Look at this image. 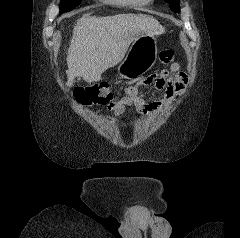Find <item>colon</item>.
<instances>
[{
	"mask_svg": "<svg viewBox=\"0 0 240 238\" xmlns=\"http://www.w3.org/2000/svg\"><path fill=\"white\" fill-rule=\"evenodd\" d=\"M159 59L163 64L172 63L175 60L174 50H162ZM74 97L82 105L107 104L112 99V93L107 83H95L77 87L74 91Z\"/></svg>",
	"mask_w": 240,
	"mask_h": 238,
	"instance_id": "colon-1",
	"label": "colon"
}]
</instances>
